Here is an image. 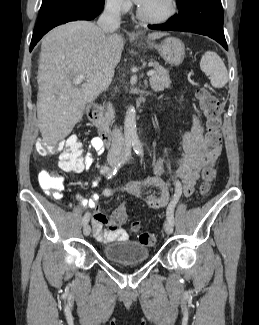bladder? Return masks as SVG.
<instances>
[{
    "mask_svg": "<svg viewBox=\"0 0 259 325\" xmlns=\"http://www.w3.org/2000/svg\"><path fill=\"white\" fill-rule=\"evenodd\" d=\"M103 255L113 263L136 264L145 262L149 258V249L140 242L124 240L105 245Z\"/></svg>",
    "mask_w": 259,
    "mask_h": 325,
    "instance_id": "obj_1",
    "label": "bladder"
}]
</instances>
